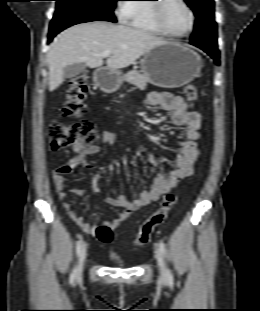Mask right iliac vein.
Wrapping results in <instances>:
<instances>
[{"mask_svg":"<svg viewBox=\"0 0 260 311\" xmlns=\"http://www.w3.org/2000/svg\"><path fill=\"white\" fill-rule=\"evenodd\" d=\"M86 255H87L86 248H83L81 250V253H80L79 259H78V265H77V269H76V276L77 277H80L81 274H82L84 263H85V259H86Z\"/></svg>","mask_w":260,"mask_h":311,"instance_id":"right-iliac-vein-1","label":"right iliac vein"}]
</instances>
